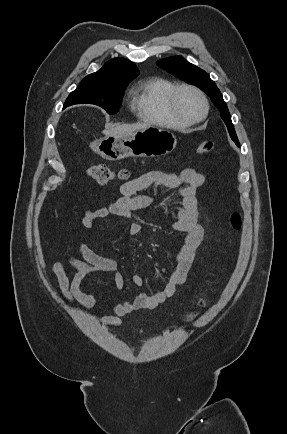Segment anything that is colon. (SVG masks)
Masks as SVG:
<instances>
[{
	"mask_svg": "<svg viewBox=\"0 0 287 434\" xmlns=\"http://www.w3.org/2000/svg\"><path fill=\"white\" fill-rule=\"evenodd\" d=\"M214 144L211 141H204L199 144L197 148V153L200 155H206L213 151ZM87 175L95 180L100 185H106L110 181H125L129 177V171L125 168L114 169L104 164L92 165L86 170ZM230 224L231 227L235 231H239L242 225V217L240 213L234 212L230 216ZM207 305V301L203 300L200 303L201 307H205ZM198 312H193L188 316L189 320L196 318Z\"/></svg>",
	"mask_w": 287,
	"mask_h": 434,
	"instance_id": "5ec220e1",
	"label": "colon"
}]
</instances>
